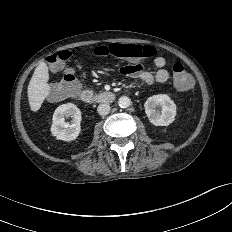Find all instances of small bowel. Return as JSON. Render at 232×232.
Here are the masks:
<instances>
[{
	"mask_svg": "<svg viewBox=\"0 0 232 232\" xmlns=\"http://www.w3.org/2000/svg\"><path fill=\"white\" fill-rule=\"evenodd\" d=\"M153 63L157 69L155 73L144 69L141 65L138 67L124 66L120 68V72L124 75L137 78L148 86L153 85L155 82L165 83L169 79V72L165 68V58L162 56H157Z\"/></svg>",
	"mask_w": 232,
	"mask_h": 232,
	"instance_id": "small-bowel-1",
	"label": "small bowel"
}]
</instances>
